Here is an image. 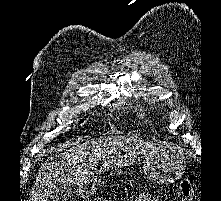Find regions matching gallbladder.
Here are the masks:
<instances>
[{
	"label": "gallbladder",
	"mask_w": 221,
	"mask_h": 201,
	"mask_svg": "<svg viewBox=\"0 0 221 201\" xmlns=\"http://www.w3.org/2000/svg\"><path fill=\"white\" fill-rule=\"evenodd\" d=\"M71 193H72L71 186L60 185L55 190H53L50 199L52 201H66Z\"/></svg>",
	"instance_id": "bac80fb5"
}]
</instances>
